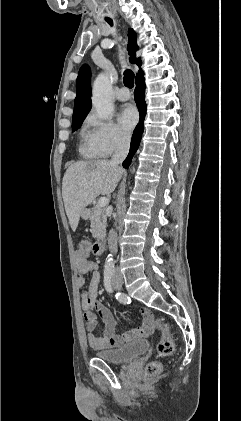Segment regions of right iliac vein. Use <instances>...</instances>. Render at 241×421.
Returning a JSON list of instances; mask_svg holds the SVG:
<instances>
[{
  "label": "right iliac vein",
  "instance_id": "1",
  "mask_svg": "<svg viewBox=\"0 0 241 421\" xmlns=\"http://www.w3.org/2000/svg\"><path fill=\"white\" fill-rule=\"evenodd\" d=\"M113 285L115 288L120 289L122 286V282L117 280V281H114Z\"/></svg>",
  "mask_w": 241,
  "mask_h": 421
}]
</instances>
